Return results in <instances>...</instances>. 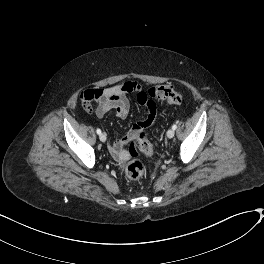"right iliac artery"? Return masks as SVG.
Wrapping results in <instances>:
<instances>
[{
    "mask_svg": "<svg viewBox=\"0 0 264 264\" xmlns=\"http://www.w3.org/2000/svg\"><path fill=\"white\" fill-rule=\"evenodd\" d=\"M96 132H97L98 135L101 134V130L99 128L96 129Z\"/></svg>",
    "mask_w": 264,
    "mask_h": 264,
    "instance_id": "1",
    "label": "right iliac artery"
}]
</instances>
